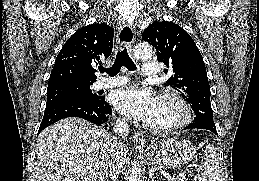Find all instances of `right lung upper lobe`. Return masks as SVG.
<instances>
[{
  "instance_id": "cb5924a9",
  "label": "right lung upper lobe",
  "mask_w": 259,
  "mask_h": 181,
  "mask_svg": "<svg viewBox=\"0 0 259 181\" xmlns=\"http://www.w3.org/2000/svg\"><path fill=\"white\" fill-rule=\"evenodd\" d=\"M114 29L95 23L77 30L64 44L55 60L48 86L62 83H94V67L110 56Z\"/></svg>"
}]
</instances>
